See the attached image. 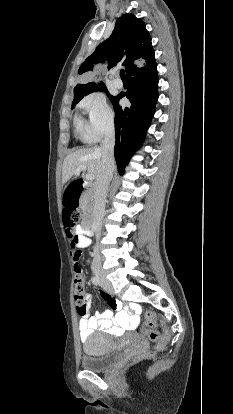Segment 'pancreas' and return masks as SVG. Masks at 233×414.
<instances>
[{
	"label": "pancreas",
	"instance_id": "pancreas-1",
	"mask_svg": "<svg viewBox=\"0 0 233 414\" xmlns=\"http://www.w3.org/2000/svg\"><path fill=\"white\" fill-rule=\"evenodd\" d=\"M88 199H89V200H91L90 198H88V197H87V195H86V194H85V195L83 196V198H82V203H81V204H82V207H83V210H84V211H85V209H84V204L87 202V200H88Z\"/></svg>",
	"mask_w": 233,
	"mask_h": 414
}]
</instances>
